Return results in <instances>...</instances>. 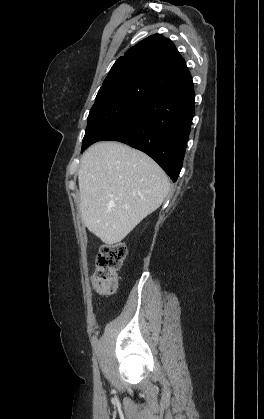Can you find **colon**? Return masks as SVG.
Wrapping results in <instances>:
<instances>
[{"label":"colon","instance_id":"obj_1","mask_svg":"<svg viewBox=\"0 0 264 419\" xmlns=\"http://www.w3.org/2000/svg\"><path fill=\"white\" fill-rule=\"evenodd\" d=\"M126 257V247L121 243L102 245L96 259V269L92 276L94 289L102 295L114 292L117 272Z\"/></svg>","mask_w":264,"mask_h":419}]
</instances>
